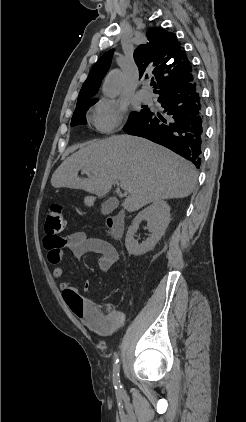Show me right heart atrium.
Instances as JSON below:
<instances>
[{
	"label": "right heart atrium",
	"mask_w": 246,
	"mask_h": 422,
	"mask_svg": "<svg viewBox=\"0 0 246 422\" xmlns=\"http://www.w3.org/2000/svg\"><path fill=\"white\" fill-rule=\"evenodd\" d=\"M125 108L118 102L102 98L91 110L90 122L96 131L109 134L116 131L122 124Z\"/></svg>",
	"instance_id": "obj_1"
}]
</instances>
